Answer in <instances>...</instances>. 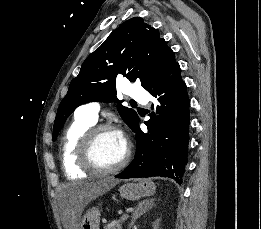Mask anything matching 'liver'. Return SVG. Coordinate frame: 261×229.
<instances>
[{"instance_id": "liver-1", "label": "liver", "mask_w": 261, "mask_h": 229, "mask_svg": "<svg viewBox=\"0 0 261 229\" xmlns=\"http://www.w3.org/2000/svg\"><path fill=\"white\" fill-rule=\"evenodd\" d=\"M121 183L120 179L114 177H105V179H98V181H91V183H76L69 187V203H74V207H66V217H68L69 229H78L80 215L93 199L101 197L107 191H111L113 187Z\"/></svg>"}]
</instances>
